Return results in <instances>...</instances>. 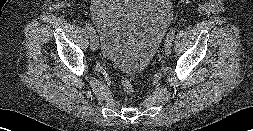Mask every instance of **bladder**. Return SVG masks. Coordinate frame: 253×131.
<instances>
[{
	"label": "bladder",
	"mask_w": 253,
	"mask_h": 131,
	"mask_svg": "<svg viewBox=\"0 0 253 131\" xmlns=\"http://www.w3.org/2000/svg\"><path fill=\"white\" fill-rule=\"evenodd\" d=\"M171 17L169 0H94L91 5L102 57L131 75L148 65Z\"/></svg>",
	"instance_id": "bladder-1"
}]
</instances>
